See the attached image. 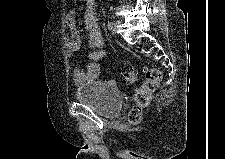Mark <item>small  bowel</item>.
<instances>
[{"mask_svg": "<svg viewBox=\"0 0 225 159\" xmlns=\"http://www.w3.org/2000/svg\"><path fill=\"white\" fill-rule=\"evenodd\" d=\"M95 7V0L86 1L84 28L87 34L90 52L88 53L89 62L85 65L84 69L79 67H74L72 69V78L78 85L91 83L99 77L101 65L98 61L107 53L104 38L96 22ZM67 29L69 34L67 52L72 56L78 51L81 44V37L76 27L74 12L68 14Z\"/></svg>", "mask_w": 225, "mask_h": 159, "instance_id": "small-bowel-1", "label": "small bowel"}]
</instances>
